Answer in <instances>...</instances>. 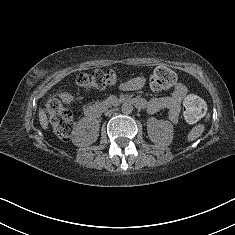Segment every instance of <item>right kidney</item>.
Listing matches in <instances>:
<instances>
[{
    "mask_svg": "<svg viewBox=\"0 0 235 235\" xmlns=\"http://www.w3.org/2000/svg\"><path fill=\"white\" fill-rule=\"evenodd\" d=\"M99 121L80 120L74 130L72 141L76 146H88L96 142L99 136Z\"/></svg>",
    "mask_w": 235,
    "mask_h": 235,
    "instance_id": "obj_1",
    "label": "right kidney"
}]
</instances>
